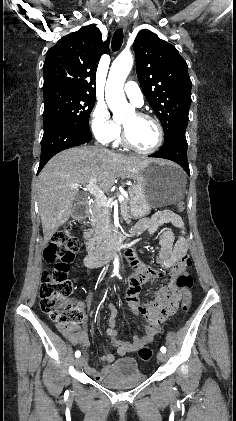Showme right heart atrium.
<instances>
[{"instance_id": "right-heart-atrium-1", "label": "right heart atrium", "mask_w": 236, "mask_h": 421, "mask_svg": "<svg viewBox=\"0 0 236 421\" xmlns=\"http://www.w3.org/2000/svg\"><path fill=\"white\" fill-rule=\"evenodd\" d=\"M90 128L94 137L103 144L116 140L121 133L120 125L102 102H97L92 109Z\"/></svg>"}]
</instances>
